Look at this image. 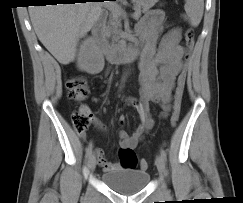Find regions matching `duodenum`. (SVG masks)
Segmentation results:
<instances>
[{"label":"duodenum","mask_w":243,"mask_h":203,"mask_svg":"<svg viewBox=\"0 0 243 203\" xmlns=\"http://www.w3.org/2000/svg\"><path fill=\"white\" fill-rule=\"evenodd\" d=\"M106 16L102 12L92 26V34L99 50L111 63L131 62L139 59L143 53V45L140 42H132L129 45H110L104 36V22Z\"/></svg>","instance_id":"1"}]
</instances>
